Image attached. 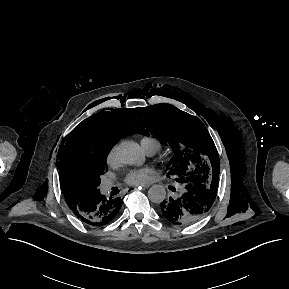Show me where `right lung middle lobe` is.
<instances>
[{
	"label": "right lung middle lobe",
	"instance_id": "right-lung-middle-lobe-1",
	"mask_svg": "<svg viewBox=\"0 0 289 289\" xmlns=\"http://www.w3.org/2000/svg\"><path fill=\"white\" fill-rule=\"evenodd\" d=\"M108 154L109 150L100 152L87 167L81 170L79 183L85 191L91 193L99 190L100 175L107 169L106 161Z\"/></svg>",
	"mask_w": 289,
	"mask_h": 289
}]
</instances>
